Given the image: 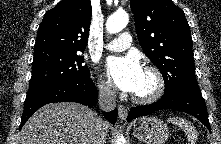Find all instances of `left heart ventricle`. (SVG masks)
I'll return each instance as SVG.
<instances>
[{"instance_id": "obj_1", "label": "left heart ventricle", "mask_w": 221, "mask_h": 144, "mask_svg": "<svg viewBox=\"0 0 221 144\" xmlns=\"http://www.w3.org/2000/svg\"><path fill=\"white\" fill-rule=\"evenodd\" d=\"M154 86H155V81L153 76L144 71L139 87L134 92V94L147 95L153 91Z\"/></svg>"}]
</instances>
